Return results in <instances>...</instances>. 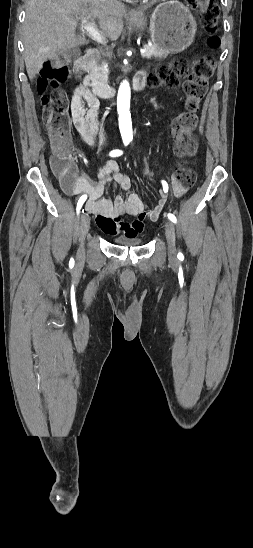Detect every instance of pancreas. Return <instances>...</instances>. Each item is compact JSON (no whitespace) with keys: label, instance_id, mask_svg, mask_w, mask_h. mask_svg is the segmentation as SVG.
<instances>
[{"label":"pancreas","instance_id":"pancreas-1","mask_svg":"<svg viewBox=\"0 0 253 548\" xmlns=\"http://www.w3.org/2000/svg\"><path fill=\"white\" fill-rule=\"evenodd\" d=\"M147 46V45H146ZM148 50L145 56L147 59L151 58H165L168 55V52L158 48L155 45L147 46ZM85 71L88 73V76L86 77V81L90 82V86L93 87L95 90H98L102 86H106L108 83V63H106L104 60L96 59L93 61H90Z\"/></svg>","mask_w":253,"mask_h":548}]
</instances>
